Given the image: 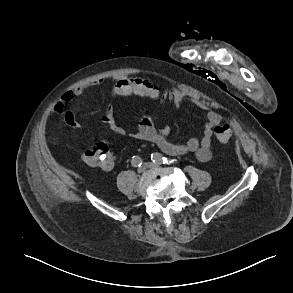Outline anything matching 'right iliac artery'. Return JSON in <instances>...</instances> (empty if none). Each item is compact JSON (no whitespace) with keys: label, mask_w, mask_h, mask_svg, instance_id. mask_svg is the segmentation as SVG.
<instances>
[{"label":"right iliac artery","mask_w":293,"mask_h":293,"mask_svg":"<svg viewBox=\"0 0 293 293\" xmlns=\"http://www.w3.org/2000/svg\"><path fill=\"white\" fill-rule=\"evenodd\" d=\"M131 164L134 167H140L142 165V159L139 156H133L131 160Z\"/></svg>","instance_id":"right-iliac-artery-1"}]
</instances>
